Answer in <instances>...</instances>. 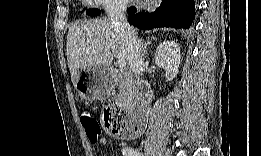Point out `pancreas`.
Here are the masks:
<instances>
[{"label": "pancreas", "instance_id": "pancreas-1", "mask_svg": "<svg viewBox=\"0 0 261 156\" xmlns=\"http://www.w3.org/2000/svg\"><path fill=\"white\" fill-rule=\"evenodd\" d=\"M133 92L128 81L120 83V91L116 99L123 104L130 105L132 101Z\"/></svg>", "mask_w": 261, "mask_h": 156}]
</instances>
